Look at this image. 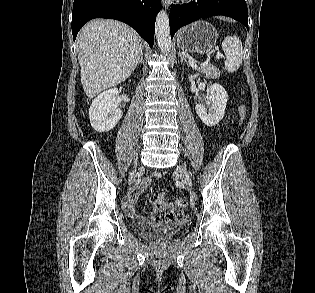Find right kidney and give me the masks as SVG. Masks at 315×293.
I'll return each instance as SVG.
<instances>
[{
	"mask_svg": "<svg viewBox=\"0 0 315 293\" xmlns=\"http://www.w3.org/2000/svg\"><path fill=\"white\" fill-rule=\"evenodd\" d=\"M119 95L117 88L102 92L92 102L89 109L91 126L97 132L104 133L113 129L122 117L116 102Z\"/></svg>",
	"mask_w": 315,
	"mask_h": 293,
	"instance_id": "1",
	"label": "right kidney"
}]
</instances>
